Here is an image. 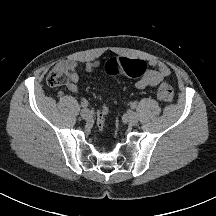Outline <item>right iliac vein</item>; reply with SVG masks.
Segmentation results:
<instances>
[{
  "mask_svg": "<svg viewBox=\"0 0 216 216\" xmlns=\"http://www.w3.org/2000/svg\"><path fill=\"white\" fill-rule=\"evenodd\" d=\"M81 117L85 120H88L92 117L91 112L88 109H82L81 113H80Z\"/></svg>",
  "mask_w": 216,
  "mask_h": 216,
  "instance_id": "63e3f726",
  "label": "right iliac vein"
}]
</instances>
